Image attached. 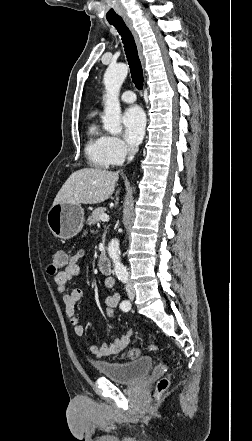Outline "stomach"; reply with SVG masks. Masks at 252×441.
Masks as SVG:
<instances>
[{"label": "stomach", "instance_id": "obj_1", "mask_svg": "<svg viewBox=\"0 0 252 441\" xmlns=\"http://www.w3.org/2000/svg\"><path fill=\"white\" fill-rule=\"evenodd\" d=\"M47 224L55 237L63 240L76 236L82 229L85 217L80 204H53L47 213Z\"/></svg>", "mask_w": 252, "mask_h": 441}]
</instances>
